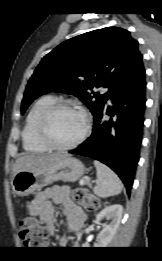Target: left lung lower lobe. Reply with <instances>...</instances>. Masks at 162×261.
Listing matches in <instances>:
<instances>
[{"mask_svg":"<svg viewBox=\"0 0 162 261\" xmlns=\"http://www.w3.org/2000/svg\"><path fill=\"white\" fill-rule=\"evenodd\" d=\"M145 69L141 62L110 91L112 106L95 113L93 132L70 153L88 156L109 166L130 193L142 140L146 103ZM108 99V98H107ZM107 101V100H106ZM106 113L111 118L103 119Z\"/></svg>","mask_w":162,"mask_h":261,"instance_id":"1","label":"left lung lower lobe"}]
</instances>
